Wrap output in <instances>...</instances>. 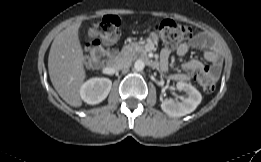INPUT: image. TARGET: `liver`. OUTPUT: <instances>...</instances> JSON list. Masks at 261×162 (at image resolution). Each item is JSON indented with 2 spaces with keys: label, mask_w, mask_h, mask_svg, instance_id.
<instances>
[{
  "label": "liver",
  "mask_w": 261,
  "mask_h": 162,
  "mask_svg": "<svg viewBox=\"0 0 261 162\" xmlns=\"http://www.w3.org/2000/svg\"><path fill=\"white\" fill-rule=\"evenodd\" d=\"M81 21L59 32L51 45L48 71L52 85L60 97L73 107H80V88L86 78L84 55L78 31Z\"/></svg>",
  "instance_id": "1"
}]
</instances>
